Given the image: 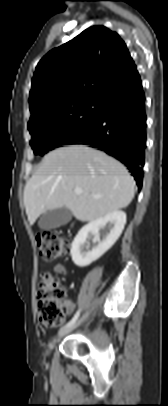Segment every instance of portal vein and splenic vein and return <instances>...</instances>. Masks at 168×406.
Listing matches in <instances>:
<instances>
[{"instance_id": "obj_1", "label": "portal vein and splenic vein", "mask_w": 168, "mask_h": 406, "mask_svg": "<svg viewBox=\"0 0 168 406\" xmlns=\"http://www.w3.org/2000/svg\"><path fill=\"white\" fill-rule=\"evenodd\" d=\"M74 192H75L76 194H82V193H84L81 188H75V189H74ZM94 196H95V197H98V196H96V195H94Z\"/></svg>"}]
</instances>
